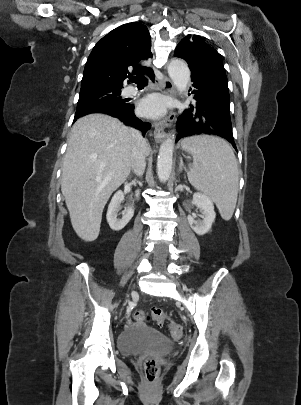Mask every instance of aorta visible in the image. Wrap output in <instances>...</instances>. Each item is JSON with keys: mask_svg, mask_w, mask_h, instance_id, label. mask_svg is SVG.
Returning a JSON list of instances; mask_svg holds the SVG:
<instances>
[{"mask_svg": "<svg viewBox=\"0 0 301 405\" xmlns=\"http://www.w3.org/2000/svg\"><path fill=\"white\" fill-rule=\"evenodd\" d=\"M168 73L179 94H184L190 81V70L187 63L174 58L168 64ZM175 139L169 135L161 144L157 159V175L161 181L170 177L173 164Z\"/></svg>", "mask_w": 301, "mask_h": 405, "instance_id": "762f6f07", "label": "aorta"}]
</instances>
